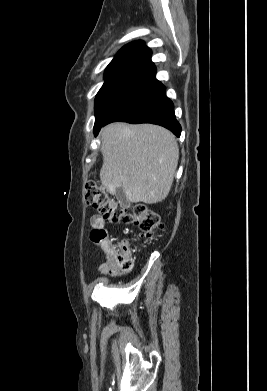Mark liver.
<instances>
[{
    "mask_svg": "<svg viewBox=\"0 0 267 391\" xmlns=\"http://www.w3.org/2000/svg\"><path fill=\"white\" fill-rule=\"evenodd\" d=\"M101 153L100 179L110 194L121 187L128 201L146 204L167 197L179 160L170 131L152 124L112 123L101 131Z\"/></svg>",
    "mask_w": 267,
    "mask_h": 391,
    "instance_id": "liver-1",
    "label": "liver"
}]
</instances>
